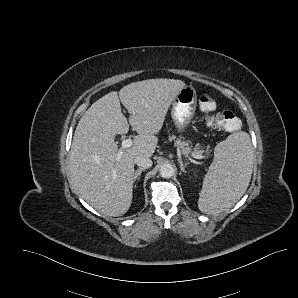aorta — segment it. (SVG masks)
Instances as JSON below:
<instances>
[{
  "instance_id": "1",
  "label": "aorta",
  "mask_w": 298,
  "mask_h": 298,
  "mask_svg": "<svg viewBox=\"0 0 298 298\" xmlns=\"http://www.w3.org/2000/svg\"><path fill=\"white\" fill-rule=\"evenodd\" d=\"M159 174L162 178L169 179L174 176L175 168L170 163H164L160 166Z\"/></svg>"
}]
</instances>
